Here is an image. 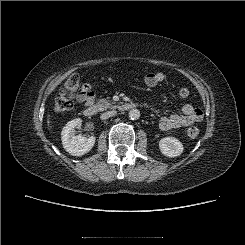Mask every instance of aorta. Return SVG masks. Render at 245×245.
<instances>
[{"label": "aorta", "mask_w": 245, "mask_h": 245, "mask_svg": "<svg viewBox=\"0 0 245 245\" xmlns=\"http://www.w3.org/2000/svg\"><path fill=\"white\" fill-rule=\"evenodd\" d=\"M128 115L131 120H137L140 117V111L138 109H132Z\"/></svg>", "instance_id": "obj_1"}]
</instances>
